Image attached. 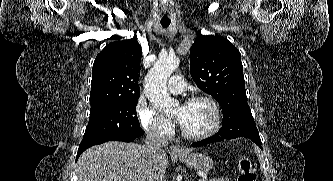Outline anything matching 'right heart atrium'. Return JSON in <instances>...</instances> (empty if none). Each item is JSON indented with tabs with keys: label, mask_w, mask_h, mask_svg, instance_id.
I'll list each match as a JSON object with an SVG mask.
<instances>
[{
	"label": "right heart atrium",
	"mask_w": 333,
	"mask_h": 181,
	"mask_svg": "<svg viewBox=\"0 0 333 181\" xmlns=\"http://www.w3.org/2000/svg\"><path fill=\"white\" fill-rule=\"evenodd\" d=\"M136 114L141 127L148 134L159 138H167L171 135L173 131L172 125L143 100L138 101Z\"/></svg>",
	"instance_id": "d8ad5b80"
}]
</instances>
